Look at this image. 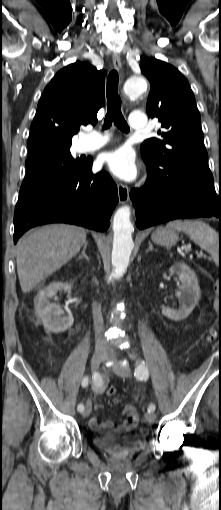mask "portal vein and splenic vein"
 <instances>
[{"mask_svg": "<svg viewBox=\"0 0 221 510\" xmlns=\"http://www.w3.org/2000/svg\"><path fill=\"white\" fill-rule=\"evenodd\" d=\"M185 250L187 251V250H189V248L187 246H185Z\"/></svg>", "mask_w": 221, "mask_h": 510, "instance_id": "18ae733b", "label": "portal vein and splenic vein"}]
</instances>
